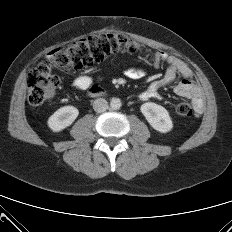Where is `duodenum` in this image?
<instances>
[{
	"label": "duodenum",
	"mask_w": 232,
	"mask_h": 232,
	"mask_svg": "<svg viewBox=\"0 0 232 232\" xmlns=\"http://www.w3.org/2000/svg\"><path fill=\"white\" fill-rule=\"evenodd\" d=\"M104 94V90L102 88H92L90 91H89V95L91 97H99V96H102Z\"/></svg>",
	"instance_id": "410a0bca"
}]
</instances>
